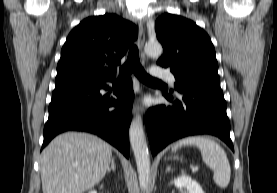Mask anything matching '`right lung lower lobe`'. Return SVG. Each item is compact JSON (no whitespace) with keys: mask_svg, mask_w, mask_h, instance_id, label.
Masks as SVG:
<instances>
[{"mask_svg":"<svg viewBox=\"0 0 277 193\" xmlns=\"http://www.w3.org/2000/svg\"><path fill=\"white\" fill-rule=\"evenodd\" d=\"M107 81L54 89L42 148L59 133L77 130L100 136L129 157L128 132L134 97L132 80L127 78L114 90L117 100L100 95V89H108Z\"/></svg>","mask_w":277,"mask_h":193,"instance_id":"98d812e1","label":"right lung lower lobe"}]
</instances>
